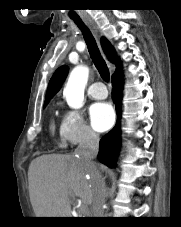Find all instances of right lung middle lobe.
I'll return each instance as SVG.
<instances>
[{
  "mask_svg": "<svg viewBox=\"0 0 181 227\" xmlns=\"http://www.w3.org/2000/svg\"><path fill=\"white\" fill-rule=\"evenodd\" d=\"M47 104H48V102H45V103H44V107H45Z\"/></svg>",
  "mask_w": 181,
  "mask_h": 227,
  "instance_id": "dd1d6c3e",
  "label": "right lung middle lobe"
}]
</instances>
